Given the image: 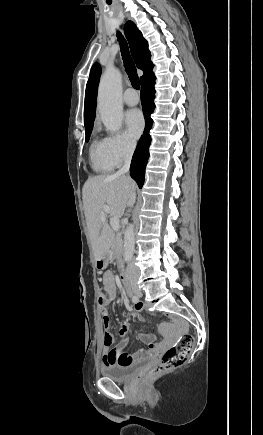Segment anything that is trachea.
Listing matches in <instances>:
<instances>
[{"mask_svg": "<svg viewBox=\"0 0 263 435\" xmlns=\"http://www.w3.org/2000/svg\"><path fill=\"white\" fill-rule=\"evenodd\" d=\"M117 37L121 47L122 59L124 61L125 70L128 74L132 86L135 89L139 90L140 89L139 77L137 75L135 64L130 56L127 42L120 32L117 33Z\"/></svg>", "mask_w": 263, "mask_h": 435, "instance_id": "1", "label": "trachea"}]
</instances>
